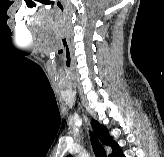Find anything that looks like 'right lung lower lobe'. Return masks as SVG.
Returning a JSON list of instances; mask_svg holds the SVG:
<instances>
[{"label": "right lung lower lobe", "mask_w": 164, "mask_h": 157, "mask_svg": "<svg viewBox=\"0 0 164 157\" xmlns=\"http://www.w3.org/2000/svg\"><path fill=\"white\" fill-rule=\"evenodd\" d=\"M109 157H125L122 150L119 146H117L116 149L113 150L112 154Z\"/></svg>", "instance_id": "right-lung-lower-lobe-1"}]
</instances>
